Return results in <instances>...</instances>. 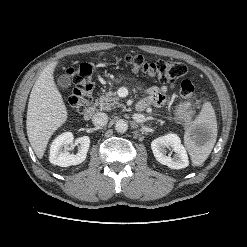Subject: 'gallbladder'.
I'll list each match as a JSON object with an SVG mask.
<instances>
[{"mask_svg":"<svg viewBox=\"0 0 247 247\" xmlns=\"http://www.w3.org/2000/svg\"><path fill=\"white\" fill-rule=\"evenodd\" d=\"M57 84L59 87L66 89L71 86V78L67 74H62L57 79Z\"/></svg>","mask_w":247,"mask_h":247,"instance_id":"obj_1","label":"gallbladder"}]
</instances>
